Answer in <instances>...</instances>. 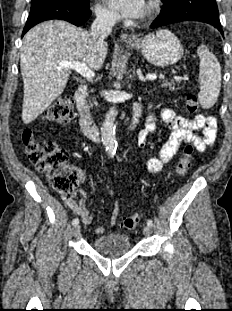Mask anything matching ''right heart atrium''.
I'll list each match as a JSON object with an SVG mask.
<instances>
[{
	"label": "right heart atrium",
	"instance_id": "right-heart-atrium-1",
	"mask_svg": "<svg viewBox=\"0 0 232 311\" xmlns=\"http://www.w3.org/2000/svg\"><path fill=\"white\" fill-rule=\"evenodd\" d=\"M97 19L103 24H113L116 21V14L108 7L97 4L95 7Z\"/></svg>",
	"mask_w": 232,
	"mask_h": 311
}]
</instances>
